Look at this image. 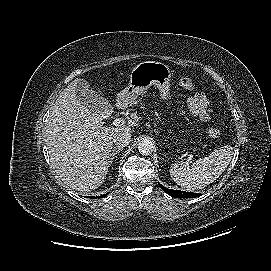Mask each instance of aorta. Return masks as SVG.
I'll use <instances>...</instances> for the list:
<instances>
[{"label":"aorta","instance_id":"762f6f07","mask_svg":"<svg viewBox=\"0 0 271 271\" xmlns=\"http://www.w3.org/2000/svg\"><path fill=\"white\" fill-rule=\"evenodd\" d=\"M153 142L149 139H143L138 144V150L142 155H150L153 152Z\"/></svg>","mask_w":271,"mask_h":271}]
</instances>
